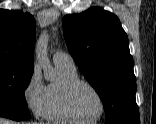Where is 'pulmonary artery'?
<instances>
[{
	"mask_svg": "<svg viewBox=\"0 0 156 124\" xmlns=\"http://www.w3.org/2000/svg\"><path fill=\"white\" fill-rule=\"evenodd\" d=\"M53 62L55 65L76 68L74 60L71 57V55L63 51H57L54 53Z\"/></svg>",
	"mask_w": 156,
	"mask_h": 124,
	"instance_id": "1",
	"label": "pulmonary artery"
}]
</instances>
